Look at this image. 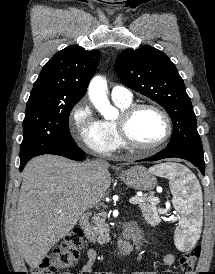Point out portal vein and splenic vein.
I'll return each instance as SVG.
<instances>
[{
  "instance_id": "portal-vein-and-splenic-vein-1",
  "label": "portal vein and splenic vein",
  "mask_w": 215,
  "mask_h": 274,
  "mask_svg": "<svg viewBox=\"0 0 215 274\" xmlns=\"http://www.w3.org/2000/svg\"><path fill=\"white\" fill-rule=\"evenodd\" d=\"M146 199L144 198V197H132L131 199H130V203L131 204H139V203H141V202H143V201H145Z\"/></svg>"
}]
</instances>
